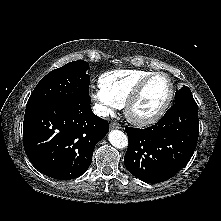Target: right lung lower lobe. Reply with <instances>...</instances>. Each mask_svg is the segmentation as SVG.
Listing matches in <instances>:
<instances>
[{
	"label": "right lung lower lobe",
	"mask_w": 221,
	"mask_h": 221,
	"mask_svg": "<svg viewBox=\"0 0 221 221\" xmlns=\"http://www.w3.org/2000/svg\"><path fill=\"white\" fill-rule=\"evenodd\" d=\"M91 99L74 105L45 104L26 108L23 143L40 172L60 180L76 178L91 164L94 147L109 123L91 110Z\"/></svg>",
	"instance_id": "obj_1"
}]
</instances>
